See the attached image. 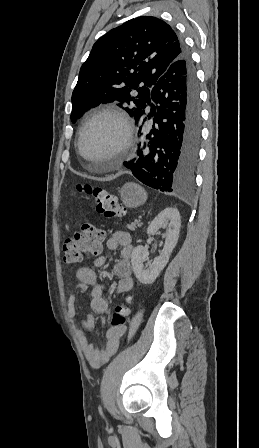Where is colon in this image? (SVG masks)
<instances>
[{"instance_id": "1", "label": "colon", "mask_w": 259, "mask_h": 448, "mask_svg": "<svg viewBox=\"0 0 259 448\" xmlns=\"http://www.w3.org/2000/svg\"><path fill=\"white\" fill-rule=\"evenodd\" d=\"M78 192L86 193L94 199L96 211L108 218L121 217L126 208L110 191L96 185L78 184ZM104 237L103 231L91 223H83L79 232L65 240L63 244L64 259L68 263H80L85 255L97 253L100 242ZM131 296H126L113 310L110 316L111 327L124 326L130 313Z\"/></svg>"}]
</instances>
